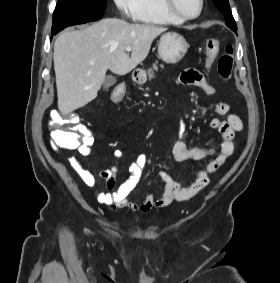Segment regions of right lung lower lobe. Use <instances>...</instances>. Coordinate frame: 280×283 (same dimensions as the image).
<instances>
[{"label":"right lung lower lobe","instance_id":"right-lung-lower-lobe-1","mask_svg":"<svg viewBox=\"0 0 280 283\" xmlns=\"http://www.w3.org/2000/svg\"><path fill=\"white\" fill-rule=\"evenodd\" d=\"M53 35H54V33H52V37H53ZM52 37H51V39H52Z\"/></svg>","mask_w":280,"mask_h":283}]
</instances>
